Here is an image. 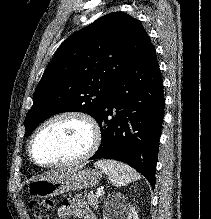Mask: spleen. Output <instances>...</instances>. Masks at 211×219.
I'll return each mask as SVG.
<instances>
[{"mask_svg":"<svg viewBox=\"0 0 211 219\" xmlns=\"http://www.w3.org/2000/svg\"><path fill=\"white\" fill-rule=\"evenodd\" d=\"M94 165L108 176V180L114 186H125L140 178V175L128 165L114 160H99Z\"/></svg>","mask_w":211,"mask_h":219,"instance_id":"obj_1","label":"spleen"}]
</instances>
